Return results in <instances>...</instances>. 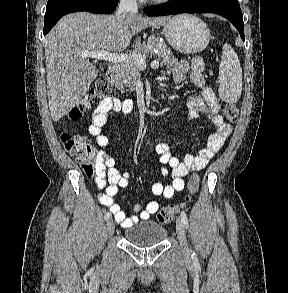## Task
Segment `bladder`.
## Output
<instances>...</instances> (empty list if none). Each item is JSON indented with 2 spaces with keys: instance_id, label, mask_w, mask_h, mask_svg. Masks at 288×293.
<instances>
[{
  "instance_id": "obj_1",
  "label": "bladder",
  "mask_w": 288,
  "mask_h": 293,
  "mask_svg": "<svg viewBox=\"0 0 288 293\" xmlns=\"http://www.w3.org/2000/svg\"><path fill=\"white\" fill-rule=\"evenodd\" d=\"M167 229L158 222L148 220L137 223L124 232L125 239L139 247L157 245L165 240Z\"/></svg>"
}]
</instances>
